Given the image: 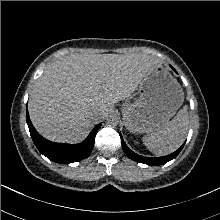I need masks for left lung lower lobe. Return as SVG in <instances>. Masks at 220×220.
<instances>
[{"label": "left lung lower lobe", "mask_w": 220, "mask_h": 220, "mask_svg": "<svg viewBox=\"0 0 220 220\" xmlns=\"http://www.w3.org/2000/svg\"><path fill=\"white\" fill-rule=\"evenodd\" d=\"M172 69L175 71V69L172 67ZM121 142H122V148L124 150V152L128 155L129 158H131L132 160L139 162V163H144V164H148V165H152V166H158V165H162L167 163L168 161L174 159L182 150L183 146L182 145L178 150H176L174 153L167 155V156H163V157H156V158H149V157H143L140 156L136 153H134L132 150H130L127 145L125 144L121 134Z\"/></svg>", "instance_id": "left-lung-lower-lobe-1"}]
</instances>
